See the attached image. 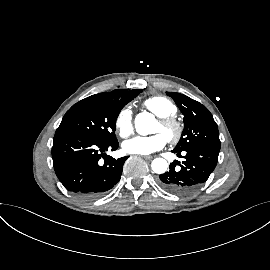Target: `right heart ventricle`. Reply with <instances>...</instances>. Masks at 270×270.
<instances>
[{"instance_id":"1","label":"right heart ventricle","mask_w":270,"mask_h":270,"mask_svg":"<svg viewBox=\"0 0 270 270\" xmlns=\"http://www.w3.org/2000/svg\"><path fill=\"white\" fill-rule=\"evenodd\" d=\"M143 106L159 118L175 116L177 113L176 105L171 100L163 96L147 98L143 102Z\"/></svg>"}]
</instances>
